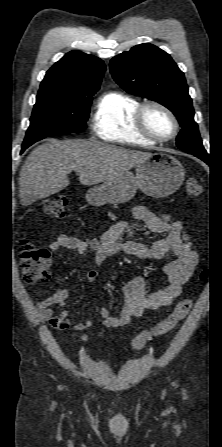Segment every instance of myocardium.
Here are the masks:
<instances>
[{"mask_svg":"<svg viewBox=\"0 0 222 447\" xmlns=\"http://www.w3.org/2000/svg\"><path fill=\"white\" fill-rule=\"evenodd\" d=\"M149 108H157V109L161 110L163 113H165L170 118V120L173 123V132L171 133V135H169L168 137H158V136L154 135L147 128L146 123H145V113H146L147 109H149ZM134 118H135L136 127L139 130V132L141 134H143L145 137L153 140L154 142H160V143L167 142V141L173 139L179 131V123H178V120H177L175 114L167 106H165L164 104L157 102V101L148 100V101H145V102L139 104Z\"/></svg>","mask_w":222,"mask_h":447,"instance_id":"1","label":"myocardium"}]
</instances>
